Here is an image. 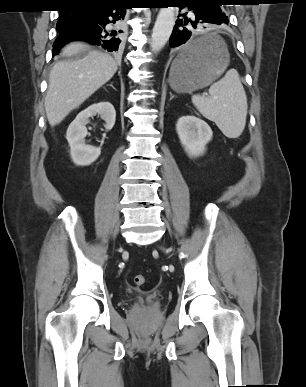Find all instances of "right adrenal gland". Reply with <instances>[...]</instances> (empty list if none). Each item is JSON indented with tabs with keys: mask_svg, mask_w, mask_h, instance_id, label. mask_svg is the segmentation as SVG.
<instances>
[{
	"mask_svg": "<svg viewBox=\"0 0 306 387\" xmlns=\"http://www.w3.org/2000/svg\"><path fill=\"white\" fill-rule=\"evenodd\" d=\"M110 86H111L113 89H115L112 83L110 84Z\"/></svg>",
	"mask_w": 306,
	"mask_h": 387,
	"instance_id": "2a0ac1e0",
	"label": "right adrenal gland"
}]
</instances>
